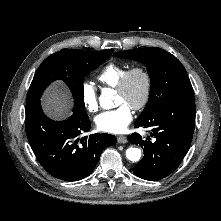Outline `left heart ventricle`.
I'll return each mask as SVG.
<instances>
[{
  "label": "left heart ventricle",
  "instance_id": "left-heart-ventricle-1",
  "mask_svg": "<svg viewBox=\"0 0 221 221\" xmlns=\"http://www.w3.org/2000/svg\"><path fill=\"white\" fill-rule=\"evenodd\" d=\"M144 92V80L136 74L134 75L128 85L127 90L124 93L117 92L116 102L118 105L127 104L132 108L141 99Z\"/></svg>",
  "mask_w": 221,
  "mask_h": 221
}]
</instances>
